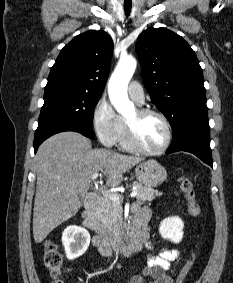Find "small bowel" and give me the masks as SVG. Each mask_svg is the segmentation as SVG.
Instances as JSON below:
<instances>
[{
	"instance_id": "obj_1",
	"label": "small bowel",
	"mask_w": 233,
	"mask_h": 283,
	"mask_svg": "<svg viewBox=\"0 0 233 283\" xmlns=\"http://www.w3.org/2000/svg\"><path fill=\"white\" fill-rule=\"evenodd\" d=\"M151 218V210L148 207L134 208V225H141L147 235V226ZM93 244L99 248L103 256L111 257V250H103L100 240L97 236L93 238ZM146 247L153 249L152 243L148 242ZM180 251L177 249L162 248L157 254L151 255L148 259L147 266L143 271V276L151 279L149 283H173L168 271H172L173 263L178 260ZM143 276L137 275L131 283H143Z\"/></svg>"
}]
</instances>
